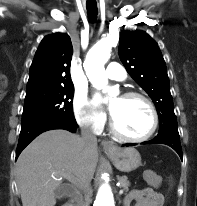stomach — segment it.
I'll return each mask as SVG.
<instances>
[{
	"label": "stomach",
	"instance_id": "1",
	"mask_svg": "<svg viewBox=\"0 0 197 206\" xmlns=\"http://www.w3.org/2000/svg\"><path fill=\"white\" fill-rule=\"evenodd\" d=\"M106 154L115 167L122 172H131L141 165L140 153L133 147L117 148Z\"/></svg>",
	"mask_w": 197,
	"mask_h": 206
}]
</instances>
